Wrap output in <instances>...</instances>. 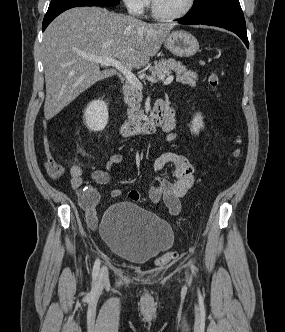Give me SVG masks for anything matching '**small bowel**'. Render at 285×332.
<instances>
[{
	"instance_id": "1",
	"label": "small bowel",
	"mask_w": 285,
	"mask_h": 332,
	"mask_svg": "<svg viewBox=\"0 0 285 332\" xmlns=\"http://www.w3.org/2000/svg\"><path fill=\"white\" fill-rule=\"evenodd\" d=\"M175 121L173 115H170L169 120L163 126V130L167 133L168 140L172 141L176 135L173 132ZM123 158L120 154L112 155L104 169H97L92 172V180L99 185H107L110 181V171L120 165ZM166 166L172 167V174L175 181L158 176L154 179L148 191L149 199L152 203L163 202L171 215H177L181 210L180 199L186 195L189 189L194 184L193 166L190 161L183 155L168 151L162 153L153 162V170L160 172ZM70 183L72 189L78 196V204L85 211L86 223L90 228L98 226V216L95 207L99 201L98 191L91 187H85L83 183V169L79 165H72L69 170ZM122 195L120 189H113L111 191L112 198H118ZM128 197L133 202L140 200V193L137 190H131Z\"/></svg>"
}]
</instances>
